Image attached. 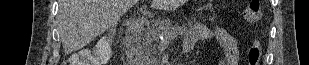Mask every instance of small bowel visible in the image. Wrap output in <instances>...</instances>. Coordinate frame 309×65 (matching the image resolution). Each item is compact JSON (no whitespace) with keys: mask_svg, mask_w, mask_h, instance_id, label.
I'll return each instance as SVG.
<instances>
[{"mask_svg":"<svg viewBox=\"0 0 309 65\" xmlns=\"http://www.w3.org/2000/svg\"><path fill=\"white\" fill-rule=\"evenodd\" d=\"M214 39L222 48L218 65H237L239 52L235 37L224 28L211 22L191 27L184 40V51H191L198 41Z\"/></svg>","mask_w":309,"mask_h":65,"instance_id":"obj_1","label":"small bowel"}]
</instances>
